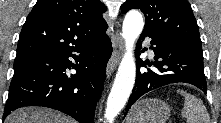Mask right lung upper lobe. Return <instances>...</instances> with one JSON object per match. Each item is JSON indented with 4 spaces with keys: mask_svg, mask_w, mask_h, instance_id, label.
I'll return each instance as SVG.
<instances>
[{
    "mask_svg": "<svg viewBox=\"0 0 221 123\" xmlns=\"http://www.w3.org/2000/svg\"><path fill=\"white\" fill-rule=\"evenodd\" d=\"M100 0H38L28 15L16 58L61 52L97 39L108 27Z\"/></svg>",
    "mask_w": 221,
    "mask_h": 123,
    "instance_id": "1",
    "label": "right lung upper lobe"
}]
</instances>
